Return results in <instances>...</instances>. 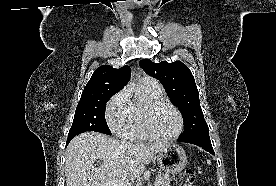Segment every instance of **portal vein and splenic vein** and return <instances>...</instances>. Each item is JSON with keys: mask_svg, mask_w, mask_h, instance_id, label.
<instances>
[{"mask_svg": "<svg viewBox=\"0 0 276 186\" xmlns=\"http://www.w3.org/2000/svg\"><path fill=\"white\" fill-rule=\"evenodd\" d=\"M101 186H131V184L123 185L122 183H118L117 181H112V182H109L108 184L101 185ZM154 186H157L156 182Z\"/></svg>", "mask_w": 276, "mask_h": 186, "instance_id": "1", "label": "portal vein and splenic vein"}]
</instances>
